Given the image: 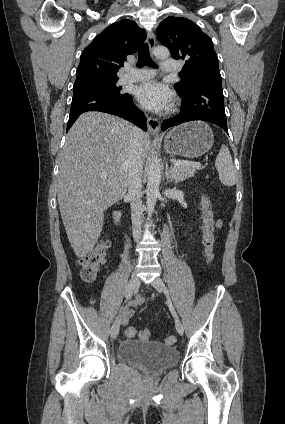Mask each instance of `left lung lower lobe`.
I'll use <instances>...</instances> for the list:
<instances>
[{
  "label": "left lung lower lobe",
  "mask_w": 285,
  "mask_h": 424,
  "mask_svg": "<svg viewBox=\"0 0 285 424\" xmlns=\"http://www.w3.org/2000/svg\"><path fill=\"white\" fill-rule=\"evenodd\" d=\"M178 94L183 99L181 112L163 121V131L184 122L203 120L218 125L228 134L221 82L198 83Z\"/></svg>",
  "instance_id": "1"
}]
</instances>
